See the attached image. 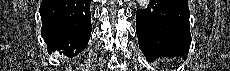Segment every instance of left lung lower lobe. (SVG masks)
Here are the masks:
<instances>
[{"label":"left lung lower lobe","instance_id":"1","mask_svg":"<svg viewBox=\"0 0 230 71\" xmlns=\"http://www.w3.org/2000/svg\"><path fill=\"white\" fill-rule=\"evenodd\" d=\"M139 47L149 60L161 56L187 57L191 35L187 0H150L137 10Z\"/></svg>","mask_w":230,"mask_h":71}]
</instances>
